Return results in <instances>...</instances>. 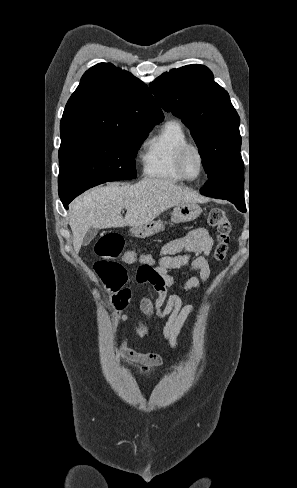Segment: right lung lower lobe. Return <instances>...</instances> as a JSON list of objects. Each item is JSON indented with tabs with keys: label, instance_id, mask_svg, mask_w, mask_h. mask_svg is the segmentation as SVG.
I'll use <instances>...</instances> for the list:
<instances>
[{
	"label": "right lung lower lobe",
	"instance_id": "98d812e1",
	"mask_svg": "<svg viewBox=\"0 0 297 488\" xmlns=\"http://www.w3.org/2000/svg\"><path fill=\"white\" fill-rule=\"evenodd\" d=\"M69 203H70V202H64V203H63V204H64V207H65L66 209L68 208L67 206H68V204H69Z\"/></svg>",
	"mask_w": 297,
	"mask_h": 488
}]
</instances>
